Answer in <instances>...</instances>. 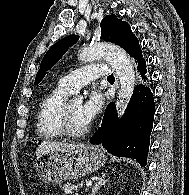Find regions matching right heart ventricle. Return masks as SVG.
I'll use <instances>...</instances> for the list:
<instances>
[{
    "instance_id": "right-heart-ventricle-1",
    "label": "right heart ventricle",
    "mask_w": 189,
    "mask_h": 195,
    "mask_svg": "<svg viewBox=\"0 0 189 195\" xmlns=\"http://www.w3.org/2000/svg\"><path fill=\"white\" fill-rule=\"evenodd\" d=\"M70 94L58 85L42 99L36 115V131L40 138L53 140L62 137L60 114Z\"/></svg>"
}]
</instances>
